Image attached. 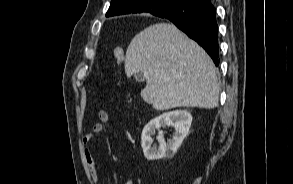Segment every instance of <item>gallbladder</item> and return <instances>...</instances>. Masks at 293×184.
Segmentation results:
<instances>
[{
  "label": "gallbladder",
  "instance_id": "bac80fb5",
  "mask_svg": "<svg viewBox=\"0 0 293 184\" xmlns=\"http://www.w3.org/2000/svg\"><path fill=\"white\" fill-rule=\"evenodd\" d=\"M134 77H135L136 81H138V82H142V81H144V76H143L142 72H138V73H136V74L134 75Z\"/></svg>",
  "mask_w": 293,
  "mask_h": 184
}]
</instances>
